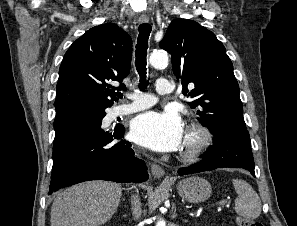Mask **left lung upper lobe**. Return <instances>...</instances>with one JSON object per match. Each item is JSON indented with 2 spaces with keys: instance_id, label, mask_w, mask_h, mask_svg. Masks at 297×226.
Segmentation results:
<instances>
[{
  "instance_id": "left-lung-upper-lobe-1",
  "label": "left lung upper lobe",
  "mask_w": 297,
  "mask_h": 226,
  "mask_svg": "<svg viewBox=\"0 0 297 226\" xmlns=\"http://www.w3.org/2000/svg\"><path fill=\"white\" fill-rule=\"evenodd\" d=\"M159 46L172 55L173 72L182 93L193 99L188 104L202 125L211 132L247 131L233 64L213 32L195 21L175 19Z\"/></svg>"
}]
</instances>
